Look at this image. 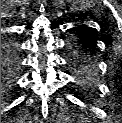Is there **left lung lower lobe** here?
Segmentation results:
<instances>
[{
	"instance_id": "left-lung-lower-lobe-1",
	"label": "left lung lower lobe",
	"mask_w": 122,
	"mask_h": 123,
	"mask_svg": "<svg viewBox=\"0 0 122 123\" xmlns=\"http://www.w3.org/2000/svg\"><path fill=\"white\" fill-rule=\"evenodd\" d=\"M71 31V30H70ZM65 45V53L68 63L75 73L77 81L83 84V79H86L90 73L88 53L89 50L93 55L95 41L87 26H79L76 30V37L68 36Z\"/></svg>"
}]
</instances>
